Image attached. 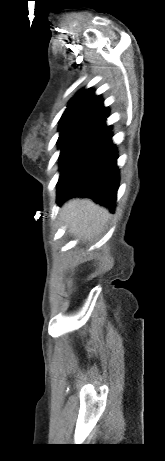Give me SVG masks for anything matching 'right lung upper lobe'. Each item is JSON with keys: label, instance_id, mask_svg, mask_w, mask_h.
<instances>
[{"label": "right lung upper lobe", "instance_id": "cb5924a9", "mask_svg": "<svg viewBox=\"0 0 165 461\" xmlns=\"http://www.w3.org/2000/svg\"><path fill=\"white\" fill-rule=\"evenodd\" d=\"M74 116H93L106 120L109 110L103 106L101 97L96 96L91 88L82 89L69 101L61 119Z\"/></svg>", "mask_w": 165, "mask_h": 461}]
</instances>
